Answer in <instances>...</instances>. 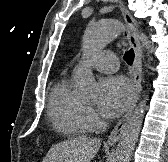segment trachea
Segmentation results:
<instances>
[{"label": "trachea", "mask_w": 168, "mask_h": 162, "mask_svg": "<svg viewBox=\"0 0 168 162\" xmlns=\"http://www.w3.org/2000/svg\"><path fill=\"white\" fill-rule=\"evenodd\" d=\"M134 50L133 49H130L129 51H127L124 55V60L129 64L131 65L134 61Z\"/></svg>", "instance_id": "3493384b"}]
</instances>
